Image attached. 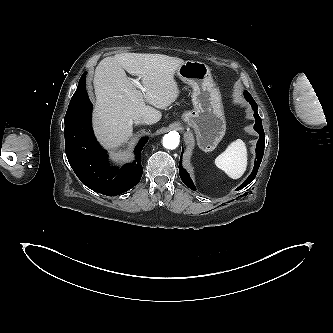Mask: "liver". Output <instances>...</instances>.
Listing matches in <instances>:
<instances>
[{
	"label": "liver",
	"mask_w": 333,
	"mask_h": 333,
	"mask_svg": "<svg viewBox=\"0 0 333 333\" xmlns=\"http://www.w3.org/2000/svg\"><path fill=\"white\" fill-rule=\"evenodd\" d=\"M183 62L177 57L141 53L116 54L101 60L93 79L94 130L106 148L116 149L126 142L136 118L146 117L151 124L161 119L158 109L168 107L179 95L174 74ZM125 70L141 78L145 93L136 89Z\"/></svg>",
	"instance_id": "1"
}]
</instances>
